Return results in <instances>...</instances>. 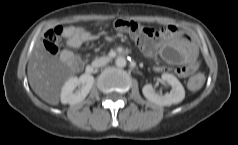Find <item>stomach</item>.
<instances>
[{
  "instance_id": "obj_1",
  "label": "stomach",
  "mask_w": 238,
  "mask_h": 145,
  "mask_svg": "<svg viewBox=\"0 0 238 145\" xmlns=\"http://www.w3.org/2000/svg\"><path fill=\"white\" fill-rule=\"evenodd\" d=\"M173 37L175 41L179 43V45L182 46L183 50L190 52L194 50L196 43L192 37V35L189 34L184 29H177L175 30Z\"/></svg>"
}]
</instances>
